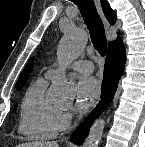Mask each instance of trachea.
I'll list each match as a JSON object with an SVG mask.
<instances>
[{
	"instance_id": "trachea-1",
	"label": "trachea",
	"mask_w": 145,
	"mask_h": 147,
	"mask_svg": "<svg viewBox=\"0 0 145 147\" xmlns=\"http://www.w3.org/2000/svg\"><path fill=\"white\" fill-rule=\"evenodd\" d=\"M89 30L94 48L101 56L106 54L107 39L104 32V25L96 10L93 0H74Z\"/></svg>"
}]
</instances>
